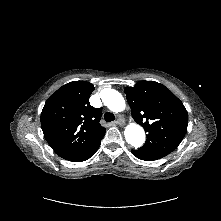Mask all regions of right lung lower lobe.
<instances>
[{
    "mask_svg": "<svg viewBox=\"0 0 221 221\" xmlns=\"http://www.w3.org/2000/svg\"><path fill=\"white\" fill-rule=\"evenodd\" d=\"M101 139H99L97 141V143L91 149H89L85 154H83L81 157L77 158L76 160H73V162L85 161V160L89 159L92 155H94L100 146Z\"/></svg>",
    "mask_w": 221,
    "mask_h": 221,
    "instance_id": "right-lung-lower-lobe-1",
    "label": "right lung lower lobe"
}]
</instances>
